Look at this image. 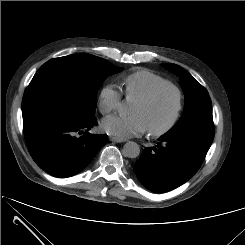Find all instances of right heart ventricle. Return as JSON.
I'll use <instances>...</instances> for the list:
<instances>
[{
    "mask_svg": "<svg viewBox=\"0 0 245 245\" xmlns=\"http://www.w3.org/2000/svg\"><path fill=\"white\" fill-rule=\"evenodd\" d=\"M170 83L167 78L155 72L138 69L124 76L122 86L126 99L133 101L157 86Z\"/></svg>",
    "mask_w": 245,
    "mask_h": 245,
    "instance_id": "e07e8e85",
    "label": "right heart ventricle"
}]
</instances>
